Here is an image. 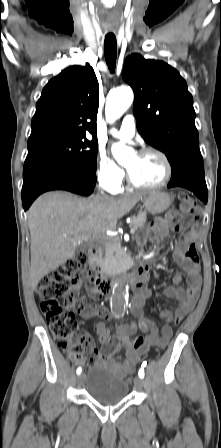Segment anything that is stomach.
Here are the masks:
<instances>
[{"label":"stomach","instance_id":"0dacf381","mask_svg":"<svg viewBox=\"0 0 221 448\" xmlns=\"http://www.w3.org/2000/svg\"><path fill=\"white\" fill-rule=\"evenodd\" d=\"M142 201L146 211L152 214H160L170 207L172 197L166 192L152 191L146 193Z\"/></svg>","mask_w":221,"mask_h":448}]
</instances>
